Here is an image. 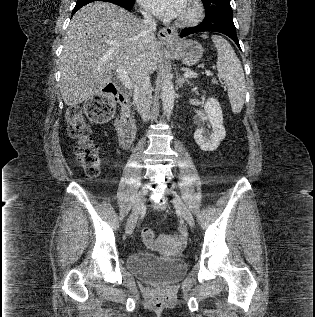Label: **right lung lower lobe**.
<instances>
[{"label": "right lung lower lobe", "mask_w": 315, "mask_h": 317, "mask_svg": "<svg viewBox=\"0 0 315 317\" xmlns=\"http://www.w3.org/2000/svg\"><path fill=\"white\" fill-rule=\"evenodd\" d=\"M94 1H106V2H110V3H114L116 5H119L127 10H131L133 5H134V1H128V0H82L76 3L75 8L73 9L72 15L79 10L81 7H83L84 5L94 2Z\"/></svg>", "instance_id": "98d812e1"}]
</instances>
